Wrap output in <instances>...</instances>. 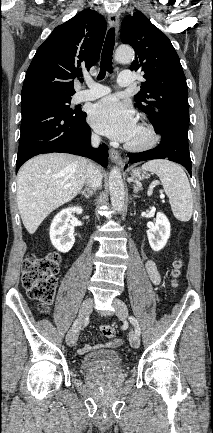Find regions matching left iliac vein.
<instances>
[{
    "mask_svg": "<svg viewBox=\"0 0 213 433\" xmlns=\"http://www.w3.org/2000/svg\"><path fill=\"white\" fill-rule=\"evenodd\" d=\"M113 306L115 308L116 316L121 320H125L128 316V309L126 304L122 300L115 298L113 300ZM129 341L133 348H138L140 346V338L134 332H130Z\"/></svg>",
    "mask_w": 213,
    "mask_h": 433,
    "instance_id": "left-iliac-vein-1",
    "label": "left iliac vein"
}]
</instances>
